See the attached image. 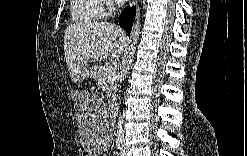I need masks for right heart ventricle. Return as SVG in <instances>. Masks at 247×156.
I'll return each instance as SVG.
<instances>
[{
  "instance_id": "right-heart-ventricle-1",
  "label": "right heart ventricle",
  "mask_w": 247,
  "mask_h": 156,
  "mask_svg": "<svg viewBox=\"0 0 247 156\" xmlns=\"http://www.w3.org/2000/svg\"><path fill=\"white\" fill-rule=\"evenodd\" d=\"M70 10L74 22L89 24L103 17V2L100 0H74Z\"/></svg>"
}]
</instances>
